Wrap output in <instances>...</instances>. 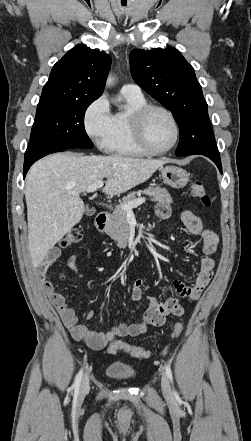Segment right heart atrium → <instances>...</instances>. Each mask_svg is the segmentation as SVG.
Returning a JSON list of instances; mask_svg holds the SVG:
<instances>
[{"label": "right heart atrium", "instance_id": "right-heart-atrium-1", "mask_svg": "<svg viewBox=\"0 0 251 441\" xmlns=\"http://www.w3.org/2000/svg\"><path fill=\"white\" fill-rule=\"evenodd\" d=\"M83 124L86 134L94 144L100 149H106L112 131V114L104 96L96 98L88 105Z\"/></svg>", "mask_w": 251, "mask_h": 441}]
</instances>
